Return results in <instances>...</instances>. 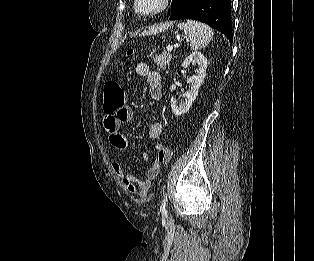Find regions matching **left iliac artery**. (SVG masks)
I'll use <instances>...</instances> for the list:
<instances>
[{"label":"left iliac artery","instance_id":"44dca946","mask_svg":"<svg viewBox=\"0 0 314 261\" xmlns=\"http://www.w3.org/2000/svg\"><path fill=\"white\" fill-rule=\"evenodd\" d=\"M166 205H167V197L164 196V199H163L162 205H161V212L163 215H167Z\"/></svg>","mask_w":314,"mask_h":261}]
</instances>
